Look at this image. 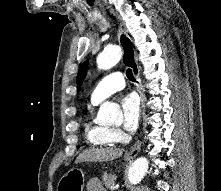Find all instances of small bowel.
<instances>
[{
    "mask_svg": "<svg viewBox=\"0 0 221 191\" xmlns=\"http://www.w3.org/2000/svg\"><path fill=\"white\" fill-rule=\"evenodd\" d=\"M87 191H106L97 178H92L87 182Z\"/></svg>",
    "mask_w": 221,
    "mask_h": 191,
    "instance_id": "c3829d8e",
    "label": "small bowel"
}]
</instances>
